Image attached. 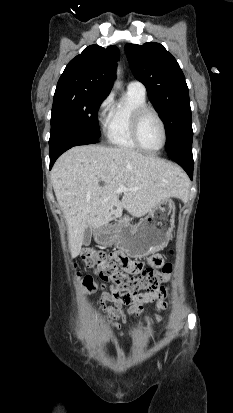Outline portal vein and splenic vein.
<instances>
[{"label":"portal vein and splenic vein","instance_id":"obj_1","mask_svg":"<svg viewBox=\"0 0 233 413\" xmlns=\"http://www.w3.org/2000/svg\"><path fill=\"white\" fill-rule=\"evenodd\" d=\"M125 190H127V189L125 188V186H124V185H120V186L118 187V189H117V192H118V193H122V192H124Z\"/></svg>","mask_w":233,"mask_h":413}]
</instances>
